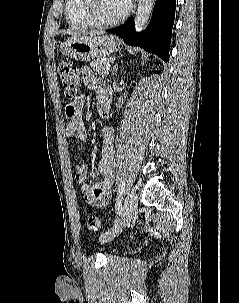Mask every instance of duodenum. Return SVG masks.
<instances>
[{"label": "duodenum", "instance_id": "1", "mask_svg": "<svg viewBox=\"0 0 239 303\" xmlns=\"http://www.w3.org/2000/svg\"><path fill=\"white\" fill-rule=\"evenodd\" d=\"M99 113L101 115V117L103 118H108L110 115V110L109 107H100Z\"/></svg>", "mask_w": 239, "mask_h": 303}]
</instances>
